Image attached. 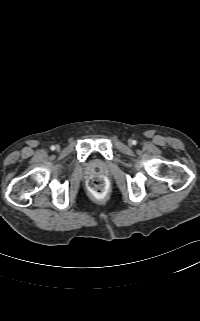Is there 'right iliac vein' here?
<instances>
[{"label":"right iliac vein","instance_id":"63e3f726","mask_svg":"<svg viewBox=\"0 0 200 321\" xmlns=\"http://www.w3.org/2000/svg\"><path fill=\"white\" fill-rule=\"evenodd\" d=\"M56 149H59V146H56Z\"/></svg>","mask_w":200,"mask_h":321}]
</instances>
